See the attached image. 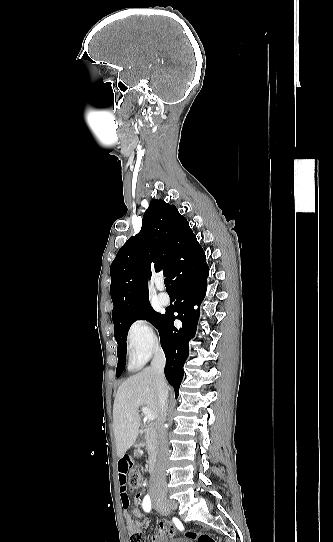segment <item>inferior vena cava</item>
Returning <instances> with one entry per match:
<instances>
[{"instance_id": "inferior-vena-cava-1", "label": "inferior vena cava", "mask_w": 333, "mask_h": 542, "mask_svg": "<svg viewBox=\"0 0 333 542\" xmlns=\"http://www.w3.org/2000/svg\"><path fill=\"white\" fill-rule=\"evenodd\" d=\"M165 356L162 350H157L154 354V358L151 362V368L155 372V382L158 392V402L160 410V420L158 422V440H159V450L157 454V460L155 468L150 470V492L154 490H159V488H166V464L168 460V448L167 440L165 436L164 422H166V404L168 400V388L164 376L165 368Z\"/></svg>"}]
</instances>
